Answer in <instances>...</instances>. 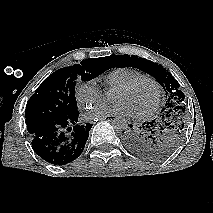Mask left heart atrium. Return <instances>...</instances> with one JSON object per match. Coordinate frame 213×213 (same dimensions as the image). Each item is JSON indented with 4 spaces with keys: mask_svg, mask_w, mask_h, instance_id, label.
<instances>
[{
    "mask_svg": "<svg viewBox=\"0 0 213 213\" xmlns=\"http://www.w3.org/2000/svg\"><path fill=\"white\" fill-rule=\"evenodd\" d=\"M133 112L131 108L122 101L113 104H98L92 107L86 114L87 119H98L105 116H130Z\"/></svg>",
    "mask_w": 213,
    "mask_h": 213,
    "instance_id": "obj_1",
    "label": "left heart atrium"
}]
</instances>
